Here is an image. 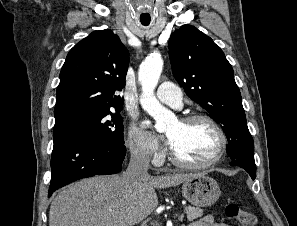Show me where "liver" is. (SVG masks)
I'll use <instances>...</instances> for the list:
<instances>
[{
	"label": "liver",
	"instance_id": "6515ba94",
	"mask_svg": "<svg viewBox=\"0 0 297 226\" xmlns=\"http://www.w3.org/2000/svg\"><path fill=\"white\" fill-rule=\"evenodd\" d=\"M195 174L129 183L124 175L95 176L67 186L52 201L49 226H133L158 205L155 188L179 185Z\"/></svg>",
	"mask_w": 297,
	"mask_h": 226
}]
</instances>
